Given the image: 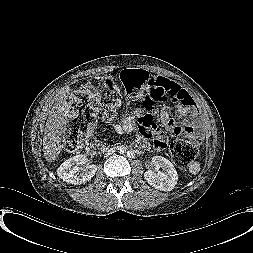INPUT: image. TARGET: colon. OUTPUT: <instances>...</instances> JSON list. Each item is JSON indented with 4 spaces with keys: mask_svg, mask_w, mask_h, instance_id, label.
Wrapping results in <instances>:
<instances>
[{
    "mask_svg": "<svg viewBox=\"0 0 253 253\" xmlns=\"http://www.w3.org/2000/svg\"><path fill=\"white\" fill-rule=\"evenodd\" d=\"M121 81L126 94L141 102L145 109L156 103L178 102L179 88L176 83L149 73L143 69H126L121 73ZM100 106L97 95L90 87L84 86L74 92L65 134L64 145L68 152H76L83 146L91 126L96 121ZM197 154L196 137L176 139L171 144V156L182 170L195 159Z\"/></svg>",
    "mask_w": 253,
    "mask_h": 253,
    "instance_id": "colon-1",
    "label": "colon"
}]
</instances>
